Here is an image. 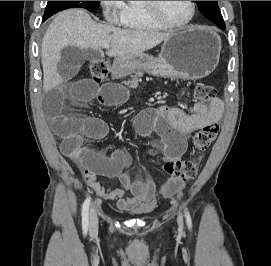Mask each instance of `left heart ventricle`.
<instances>
[{
  "instance_id": "1",
  "label": "left heart ventricle",
  "mask_w": 271,
  "mask_h": 266,
  "mask_svg": "<svg viewBox=\"0 0 271 266\" xmlns=\"http://www.w3.org/2000/svg\"><path fill=\"white\" fill-rule=\"evenodd\" d=\"M158 9L165 19L175 24L187 21L191 13L189 1H158Z\"/></svg>"
}]
</instances>
